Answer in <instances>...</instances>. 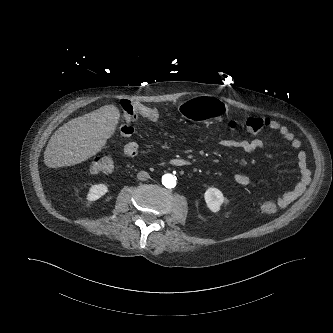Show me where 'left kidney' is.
<instances>
[{
    "label": "left kidney",
    "mask_w": 333,
    "mask_h": 333,
    "mask_svg": "<svg viewBox=\"0 0 333 333\" xmlns=\"http://www.w3.org/2000/svg\"><path fill=\"white\" fill-rule=\"evenodd\" d=\"M204 198L207 207L212 212H218L224 202V196L222 192L219 189L213 187H210L206 190V192L204 193Z\"/></svg>",
    "instance_id": "left-kidney-1"
}]
</instances>
